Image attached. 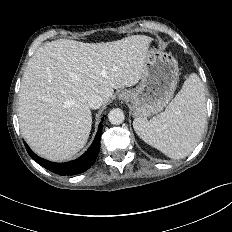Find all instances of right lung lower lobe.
Returning a JSON list of instances; mask_svg holds the SVG:
<instances>
[{"label":"right lung lower lobe","instance_id":"1","mask_svg":"<svg viewBox=\"0 0 232 232\" xmlns=\"http://www.w3.org/2000/svg\"><path fill=\"white\" fill-rule=\"evenodd\" d=\"M103 120V119H102ZM102 122L99 124L96 137L89 149L78 159L66 163H54L37 156L24 142L28 154L41 166L58 175H76L82 173L95 163L100 149Z\"/></svg>","mask_w":232,"mask_h":232}]
</instances>
